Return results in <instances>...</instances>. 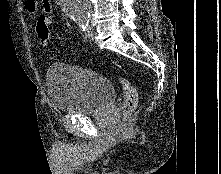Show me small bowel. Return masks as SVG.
Masks as SVG:
<instances>
[{"label": "small bowel", "mask_w": 221, "mask_h": 174, "mask_svg": "<svg viewBox=\"0 0 221 174\" xmlns=\"http://www.w3.org/2000/svg\"><path fill=\"white\" fill-rule=\"evenodd\" d=\"M41 5L46 14L52 13L53 5L51 0H42ZM25 7L29 14H35L38 11V2L36 0H26Z\"/></svg>", "instance_id": "1"}]
</instances>
